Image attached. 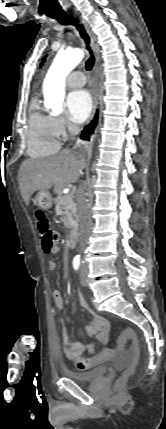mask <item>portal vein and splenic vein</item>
Instances as JSON below:
<instances>
[{
  "instance_id": "1",
  "label": "portal vein and splenic vein",
  "mask_w": 166,
  "mask_h": 429,
  "mask_svg": "<svg viewBox=\"0 0 166 429\" xmlns=\"http://www.w3.org/2000/svg\"><path fill=\"white\" fill-rule=\"evenodd\" d=\"M72 196L70 194L67 195V198L70 199Z\"/></svg>"
}]
</instances>
